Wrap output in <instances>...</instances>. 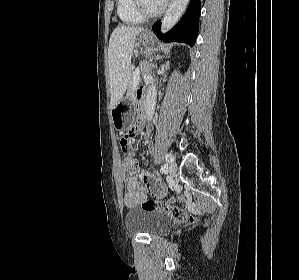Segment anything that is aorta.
Returning <instances> with one entry per match:
<instances>
[{"instance_id":"aorta-1","label":"aorta","mask_w":299,"mask_h":280,"mask_svg":"<svg viewBox=\"0 0 299 280\" xmlns=\"http://www.w3.org/2000/svg\"><path fill=\"white\" fill-rule=\"evenodd\" d=\"M189 0H171L165 16L162 19L161 31L163 33L169 31L180 19L185 12ZM157 99L156 85L151 83L148 86L145 100V115L148 120H151L154 115Z\"/></svg>"}]
</instances>
